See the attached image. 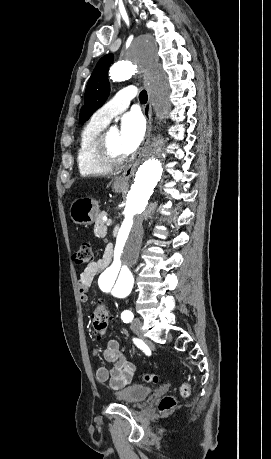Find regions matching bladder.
Returning <instances> with one entry per match:
<instances>
[{
  "label": "bladder",
  "instance_id": "obj_1",
  "mask_svg": "<svg viewBox=\"0 0 271 459\" xmlns=\"http://www.w3.org/2000/svg\"><path fill=\"white\" fill-rule=\"evenodd\" d=\"M150 386L146 385H131L126 389H122L115 393V396L120 399V403H137L143 401L151 395Z\"/></svg>",
  "mask_w": 271,
  "mask_h": 459
}]
</instances>
